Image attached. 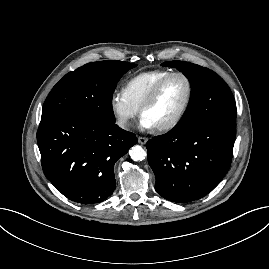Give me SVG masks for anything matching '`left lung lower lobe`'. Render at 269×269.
Returning <instances> with one entry per match:
<instances>
[{"label": "left lung lower lobe", "instance_id": "obj_1", "mask_svg": "<svg viewBox=\"0 0 269 269\" xmlns=\"http://www.w3.org/2000/svg\"><path fill=\"white\" fill-rule=\"evenodd\" d=\"M235 134L234 118H215L149 140L148 163L156 192L177 203L206 196L229 170Z\"/></svg>", "mask_w": 269, "mask_h": 269}]
</instances>
